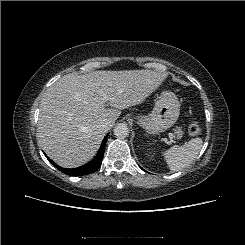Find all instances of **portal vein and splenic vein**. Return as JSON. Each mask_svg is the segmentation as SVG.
Wrapping results in <instances>:
<instances>
[{"label": "portal vein and splenic vein", "mask_w": 245, "mask_h": 245, "mask_svg": "<svg viewBox=\"0 0 245 245\" xmlns=\"http://www.w3.org/2000/svg\"><path fill=\"white\" fill-rule=\"evenodd\" d=\"M107 101V96L105 94H102V102L105 103ZM168 136L170 139H175V135L171 132L168 133Z\"/></svg>", "instance_id": "18ae733b"}]
</instances>
